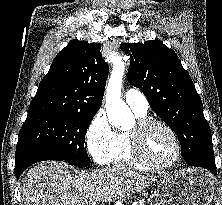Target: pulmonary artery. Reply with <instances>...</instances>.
<instances>
[{
	"instance_id": "pulmonary-artery-1",
	"label": "pulmonary artery",
	"mask_w": 222,
	"mask_h": 205,
	"mask_svg": "<svg viewBox=\"0 0 222 205\" xmlns=\"http://www.w3.org/2000/svg\"><path fill=\"white\" fill-rule=\"evenodd\" d=\"M124 99L132 110L139 113L145 114L149 108L146 97L137 89H128L125 93Z\"/></svg>"
}]
</instances>
